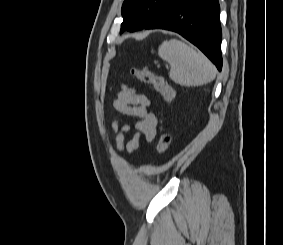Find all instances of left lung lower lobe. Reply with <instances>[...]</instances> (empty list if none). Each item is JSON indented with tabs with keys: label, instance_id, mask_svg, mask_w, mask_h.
I'll list each match as a JSON object with an SVG mask.
<instances>
[{
	"label": "left lung lower lobe",
	"instance_id": "0a47b994",
	"mask_svg": "<svg viewBox=\"0 0 283 245\" xmlns=\"http://www.w3.org/2000/svg\"><path fill=\"white\" fill-rule=\"evenodd\" d=\"M218 0H173L145 29L174 31L197 46L222 69Z\"/></svg>",
	"mask_w": 283,
	"mask_h": 245
}]
</instances>
